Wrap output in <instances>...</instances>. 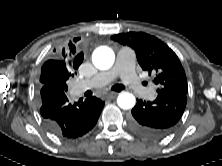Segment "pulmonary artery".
Here are the masks:
<instances>
[{
  "label": "pulmonary artery",
  "instance_id": "e3ab8cb5",
  "mask_svg": "<svg viewBox=\"0 0 222 166\" xmlns=\"http://www.w3.org/2000/svg\"><path fill=\"white\" fill-rule=\"evenodd\" d=\"M116 77H120L132 91L144 93L149 99L152 97L153 88L144 86L135 72V54L130 49L119 50L114 67L97 74L87 82V85L79 83L75 88V94H81L87 87L107 85Z\"/></svg>",
  "mask_w": 222,
  "mask_h": 166
}]
</instances>
